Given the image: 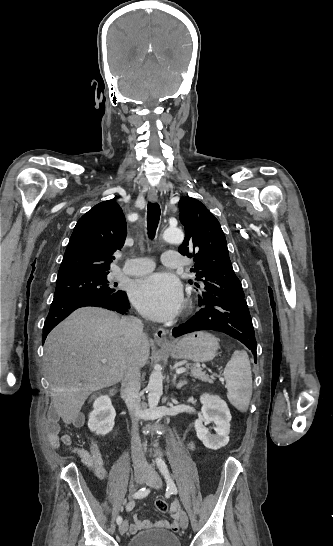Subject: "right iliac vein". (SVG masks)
Instances as JSON below:
<instances>
[{
  "instance_id": "1",
  "label": "right iliac vein",
  "mask_w": 333,
  "mask_h": 546,
  "mask_svg": "<svg viewBox=\"0 0 333 546\" xmlns=\"http://www.w3.org/2000/svg\"><path fill=\"white\" fill-rule=\"evenodd\" d=\"M146 478H147L146 472H144L142 470H137L135 472V481H136L137 484H141V483L145 482ZM127 530H128V521L124 520L121 523V525L119 526V533L124 534V533L127 532Z\"/></svg>"
}]
</instances>
